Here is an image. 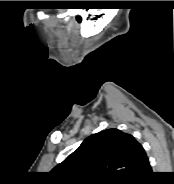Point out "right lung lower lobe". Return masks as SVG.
Here are the masks:
<instances>
[{
    "mask_svg": "<svg viewBox=\"0 0 174 184\" xmlns=\"http://www.w3.org/2000/svg\"><path fill=\"white\" fill-rule=\"evenodd\" d=\"M152 174L151 166L149 161H147L140 171H138L133 178L130 180L124 181L121 184H146L148 183V179Z\"/></svg>",
    "mask_w": 174,
    "mask_h": 184,
    "instance_id": "right-lung-lower-lobe-1",
    "label": "right lung lower lobe"
}]
</instances>
